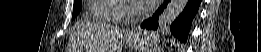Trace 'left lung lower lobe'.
I'll use <instances>...</instances> for the list:
<instances>
[{"instance_id":"0a47b994","label":"left lung lower lobe","mask_w":261,"mask_h":52,"mask_svg":"<svg viewBox=\"0 0 261 52\" xmlns=\"http://www.w3.org/2000/svg\"><path fill=\"white\" fill-rule=\"evenodd\" d=\"M167 3L168 1L166 0L164 5H162L160 9L156 11L152 18L145 20L141 24V27L154 30L157 29L159 14L167 6ZM200 3L201 0H189L183 12L170 26L171 33L182 43H185L187 41L192 20L198 12Z\"/></svg>"}]
</instances>
